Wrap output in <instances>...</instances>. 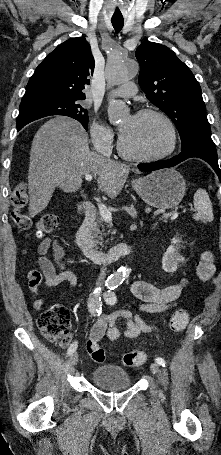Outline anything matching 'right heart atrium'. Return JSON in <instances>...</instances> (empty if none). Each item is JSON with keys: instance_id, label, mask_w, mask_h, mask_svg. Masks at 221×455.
<instances>
[{"instance_id": "1", "label": "right heart atrium", "mask_w": 221, "mask_h": 455, "mask_svg": "<svg viewBox=\"0 0 221 455\" xmlns=\"http://www.w3.org/2000/svg\"><path fill=\"white\" fill-rule=\"evenodd\" d=\"M90 137L94 150L101 155H108L112 151L114 134L106 125L94 121L90 127Z\"/></svg>"}]
</instances>
